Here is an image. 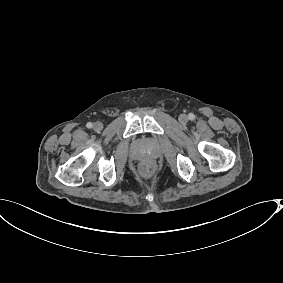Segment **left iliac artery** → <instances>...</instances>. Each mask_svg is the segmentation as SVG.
<instances>
[{"instance_id": "left-iliac-artery-1", "label": "left iliac artery", "mask_w": 283, "mask_h": 283, "mask_svg": "<svg viewBox=\"0 0 283 283\" xmlns=\"http://www.w3.org/2000/svg\"><path fill=\"white\" fill-rule=\"evenodd\" d=\"M190 120H194L195 119V115L193 113H189L188 115Z\"/></svg>"}]
</instances>
